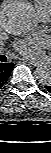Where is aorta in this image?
Listing matches in <instances>:
<instances>
[{
  "instance_id": "762f6f07",
  "label": "aorta",
  "mask_w": 51,
  "mask_h": 153,
  "mask_svg": "<svg viewBox=\"0 0 51 153\" xmlns=\"http://www.w3.org/2000/svg\"><path fill=\"white\" fill-rule=\"evenodd\" d=\"M2 26L13 35H27L37 26L34 7L26 0H17L2 11ZM35 78L43 85L51 84V65L44 63L35 70Z\"/></svg>"
}]
</instances>
